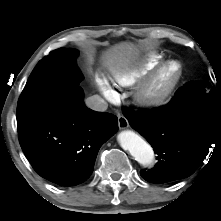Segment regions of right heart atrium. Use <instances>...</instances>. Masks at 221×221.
Here are the masks:
<instances>
[{"mask_svg":"<svg viewBox=\"0 0 221 221\" xmlns=\"http://www.w3.org/2000/svg\"><path fill=\"white\" fill-rule=\"evenodd\" d=\"M97 83L102 94L109 100H112L116 96L115 90L112 88L108 79L104 76H101L97 79Z\"/></svg>","mask_w":221,"mask_h":221,"instance_id":"right-heart-atrium-1","label":"right heart atrium"}]
</instances>
